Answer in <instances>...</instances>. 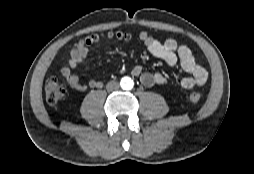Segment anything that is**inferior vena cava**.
Here are the masks:
<instances>
[{"label":"inferior vena cava","mask_w":254,"mask_h":174,"mask_svg":"<svg viewBox=\"0 0 254 174\" xmlns=\"http://www.w3.org/2000/svg\"><path fill=\"white\" fill-rule=\"evenodd\" d=\"M118 88H119V83L116 81H110L106 85L107 91L117 90Z\"/></svg>","instance_id":"1"}]
</instances>
